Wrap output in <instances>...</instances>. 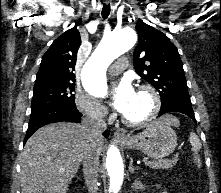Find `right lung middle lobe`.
<instances>
[{"label":"right lung middle lobe","mask_w":221,"mask_h":193,"mask_svg":"<svg viewBox=\"0 0 221 193\" xmlns=\"http://www.w3.org/2000/svg\"><path fill=\"white\" fill-rule=\"evenodd\" d=\"M75 82H51L34 85L31 110L51 105L76 107Z\"/></svg>","instance_id":"1"}]
</instances>
